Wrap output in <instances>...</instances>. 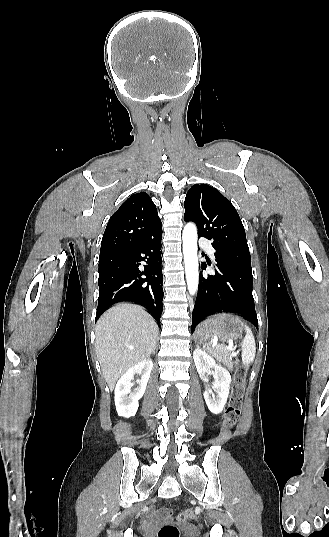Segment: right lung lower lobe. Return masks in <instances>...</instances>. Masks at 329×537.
<instances>
[{
    "mask_svg": "<svg viewBox=\"0 0 329 537\" xmlns=\"http://www.w3.org/2000/svg\"><path fill=\"white\" fill-rule=\"evenodd\" d=\"M161 239L162 232L129 250L100 255L95 320L112 304L133 301L147 307L160 325L164 295Z\"/></svg>",
    "mask_w": 329,
    "mask_h": 537,
    "instance_id": "98d812e1",
    "label": "right lung lower lobe"
}]
</instances>
